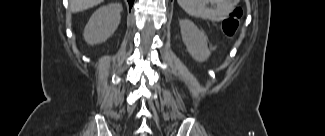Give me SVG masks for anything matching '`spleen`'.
<instances>
[{"mask_svg":"<svg viewBox=\"0 0 325 136\" xmlns=\"http://www.w3.org/2000/svg\"><path fill=\"white\" fill-rule=\"evenodd\" d=\"M208 2H211V4H216V9L207 7L206 4ZM178 4L190 16L208 19L213 22L223 20L229 12L227 4L223 0H179Z\"/></svg>","mask_w":325,"mask_h":136,"instance_id":"spleen-1","label":"spleen"}]
</instances>
